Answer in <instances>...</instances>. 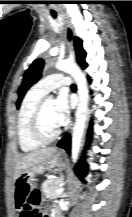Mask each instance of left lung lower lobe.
<instances>
[{"instance_id": "0a47b994", "label": "left lung lower lobe", "mask_w": 132, "mask_h": 217, "mask_svg": "<svg viewBox=\"0 0 132 217\" xmlns=\"http://www.w3.org/2000/svg\"><path fill=\"white\" fill-rule=\"evenodd\" d=\"M90 139H91V129L89 130V133H88V143L90 142ZM58 147L64 148V149H66V151L68 153H70V137H69V135H66L65 137H63V139L58 143ZM75 171L81 179L83 178V176L86 175L87 164L84 162V160H81L79 162V164L75 168Z\"/></svg>"}]
</instances>
